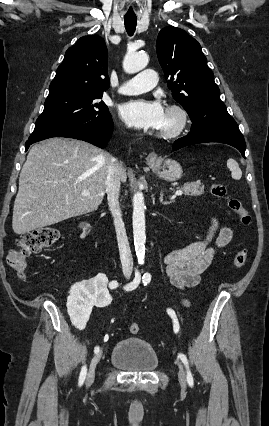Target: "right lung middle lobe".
<instances>
[{
	"label": "right lung middle lobe",
	"mask_w": 269,
	"mask_h": 426,
	"mask_svg": "<svg viewBox=\"0 0 269 426\" xmlns=\"http://www.w3.org/2000/svg\"><path fill=\"white\" fill-rule=\"evenodd\" d=\"M103 92L60 90L49 93L43 113L38 117L29 139L85 122H99L111 117L100 101Z\"/></svg>",
	"instance_id": "1"
}]
</instances>
